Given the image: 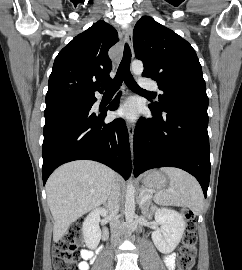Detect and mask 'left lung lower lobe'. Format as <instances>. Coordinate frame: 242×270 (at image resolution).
Returning a JSON list of instances; mask_svg holds the SVG:
<instances>
[{"instance_id": "1", "label": "left lung lower lobe", "mask_w": 242, "mask_h": 270, "mask_svg": "<svg viewBox=\"0 0 242 270\" xmlns=\"http://www.w3.org/2000/svg\"><path fill=\"white\" fill-rule=\"evenodd\" d=\"M153 119L141 118L134 131V175L158 167L172 166L192 174L204 196L210 179V149L206 106L184 105L157 112Z\"/></svg>"}]
</instances>
